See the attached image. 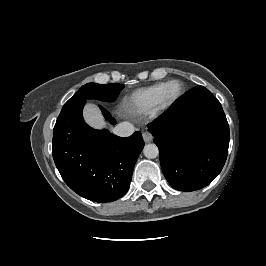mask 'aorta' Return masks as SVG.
<instances>
[{
    "mask_svg": "<svg viewBox=\"0 0 266 266\" xmlns=\"http://www.w3.org/2000/svg\"><path fill=\"white\" fill-rule=\"evenodd\" d=\"M144 156L148 159H154L158 156L159 150L155 144H147L143 148Z\"/></svg>",
    "mask_w": 266,
    "mask_h": 266,
    "instance_id": "aorta-1",
    "label": "aorta"
}]
</instances>
